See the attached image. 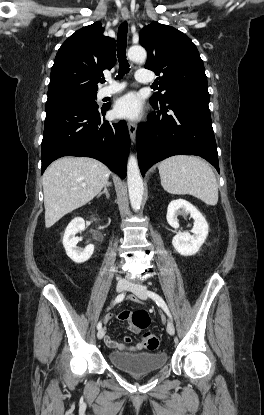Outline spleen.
I'll use <instances>...</instances> for the list:
<instances>
[{"label": "spleen", "instance_id": "3e777b00", "mask_svg": "<svg viewBox=\"0 0 264 415\" xmlns=\"http://www.w3.org/2000/svg\"><path fill=\"white\" fill-rule=\"evenodd\" d=\"M161 185L171 194L192 195L208 205L218 202V185L211 167L201 158L177 155L158 165Z\"/></svg>", "mask_w": 264, "mask_h": 415}]
</instances>
